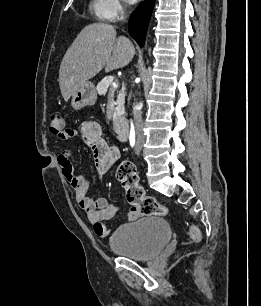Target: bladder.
I'll return each instance as SVG.
<instances>
[{"label":"bladder","instance_id":"bladder-1","mask_svg":"<svg viewBox=\"0 0 261 306\" xmlns=\"http://www.w3.org/2000/svg\"><path fill=\"white\" fill-rule=\"evenodd\" d=\"M171 237L168 222L159 216H146L118 227L109 237V247L117 255L146 261L155 257Z\"/></svg>","mask_w":261,"mask_h":306}]
</instances>
